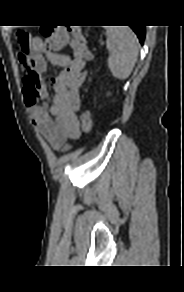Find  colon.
Returning a JSON list of instances; mask_svg holds the SVG:
<instances>
[{
  "label": "colon",
  "instance_id": "5ec220e1",
  "mask_svg": "<svg viewBox=\"0 0 184 292\" xmlns=\"http://www.w3.org/2000/svg\"><path fill=\"white\" fill-rule=\"evenodd\" d=\"M41 34L44 37V48L48 52L59 51L68 44L75 59L91 60L93 58V53L87 47L85 37L78 27H42ZM17 41L20 48L26 49L30 44V36L26 32H18ZM80 121L82 130L89 133L92 129L91 113L84 111L80 116Z\"/></svg>",
  "mask_w": 184,
  "mask_h": 292
}]
</instances>
